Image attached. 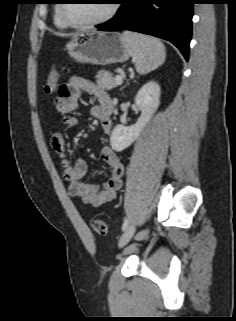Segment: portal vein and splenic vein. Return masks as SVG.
I'll return each mask as SVG.
<instances>
[{
	"label": "portal vein and splenic vein",
	"instance_id": "portal-vein-and-splenic-vein-1",
	"mask_svg": "<svg viewBox=\"0 0 236 321\" xmlns=\"http://www.w3.org/2000/svg\"><path fill=\"white\" fill-rule=\"evenodd\" d=\"M123 83V76L117 75L116 76V84L121 85Z\"/></svg>",
	"mask_w": 236,
	"mask_h": 321
}]
</instances>
